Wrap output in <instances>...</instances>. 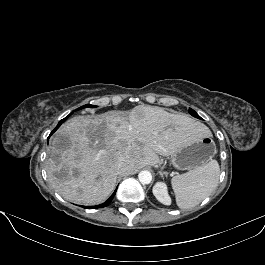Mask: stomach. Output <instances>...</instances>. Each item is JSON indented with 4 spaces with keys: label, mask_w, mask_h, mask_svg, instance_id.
I'll return each mask as SVG.
<instances>
[{
    "label": "stomach",
    "mask_w": 265,
    "mask_h": 265,
    "mask_svg": "<svg viewBox=\"0 0 265 265\" xmlns=\"http://www.w3.org/2000/svg\"><path fill=\"white\" fill-rule=\"evenodd\" d=\"M216 153L211 135L186 139L171 154L172 165L179 170H192L209 163Z\"/></svg>",
    "instance_id": "0dacf381"
}]
</instances>
